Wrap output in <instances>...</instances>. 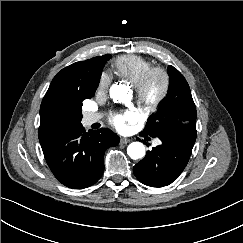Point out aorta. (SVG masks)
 <instances>
[{
	"instance_id": "1",
	"label": "aorta",
	"mask_w": 243,
	"mask_h": 243,
	"mask_svg": "<svg viewBox=\"0 0 243 243\" xmlns=\"http://www.w3.org/2000/svg\"><path fill=\"white\" fill-rule=\"evenodd\" d=\"M110 97L115 102H125L130 99V93L126 86L114 84L110 88ZM127 154L133 160L145 156V147L141 142H132L127 148Z\"/></svg>"
}]
</instances>
